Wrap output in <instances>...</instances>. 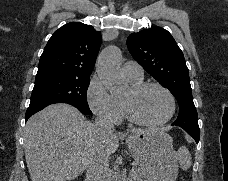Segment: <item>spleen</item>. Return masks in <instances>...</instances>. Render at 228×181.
I'll use <instances>...</instances> for the list:
<instances>
[{
	"label": "spleen",
	"instance_id": "3e777b00",
	"mask_svg": "<svg viewBox=\"0 0 228 181\" xmlns=\"http://www.w3.org/2000/svg\"><path fill=\"white\" fill-rule=\"evenodd\" d=\"M191 159H192V157H191L188 149H186V147H180V149H178L177 161H178L181 169H183V171H187V169H190Z\"/></svg>",
	"mask_w": 228,
	"mask_h": 181
}]
</instances>
